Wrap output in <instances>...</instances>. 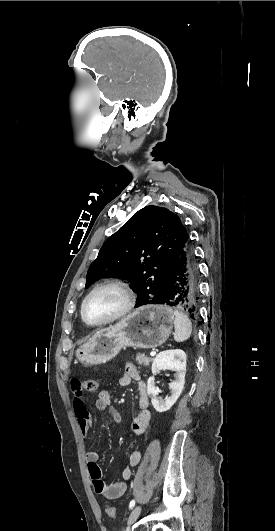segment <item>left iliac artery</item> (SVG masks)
Listing matches in <instances>:
<instances>
[{"instance_id":"obj_1","label":"left iliac artery","mask_w":275,"mask_h":531,"mask_svg":"<svg viewBox=\"0 0 275 531\" xmlns=\"http://www.w3.org/2000/svg\"><path fill=\"white\" fill-rule=\"evenodd\" d=\"M135 506V500H132L129 504V509H132Z\"/></svg>"}]
</instances>
